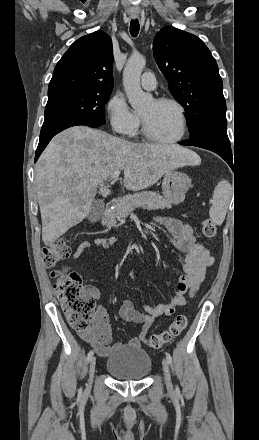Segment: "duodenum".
<instances>
[{
    "mask_svg": "<svg viewBox=\"0 0 259 440\" xmlns=\"http://www.w3.org/2000/svg\"><path fill=\"white\" fill-rule=\"evenodd\" d=\"M116 199H112L109 202H107L105 209H104V215H108L111 210L113 209V207L116 205Z\"/></svg>",
    "mask_w": 259,
    "mask_h": 440,
    "instance_id": "1",
    "label": "duodenum"
}]
</instances>
